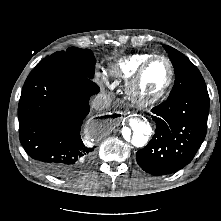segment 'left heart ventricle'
Returning <instances> with one entry per match:
<instances>
[{
	"label": "left heart ventricle",
	"mask_w": 221,
	"mask_h": 221,
	"mask_svg": "<svg viewBox=\"0 0 221 221\" xmlns=\"http://www.w3.org/2000/svg\"><path fill=\"white\" fill-rule=\"evenodd\" d=\"M169 77V68L164 60H155L145 71L139 91L145 96H151L163 89Z\"/></svg>",
	"instance_id": "obj_1"
}]
</instances>
